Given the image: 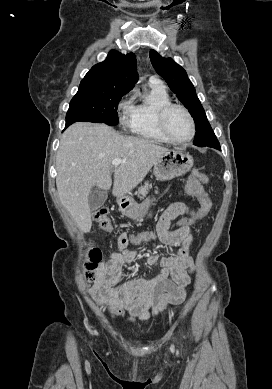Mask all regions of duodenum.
Listing matches in <instances>:
<instances>
[{
	"label": "duodenum",
	"instance_id": "obj_1",
	"mask_svg": "<svg viewBox=\"0 0 272 389\" xmlns=\"http://www.w3.org/2000/svg\"><path fill=\"white\" fill-rule=\"evenodd\" d=\"M118 201H119V202H121V199H120V198H118Z\"/></svg>",
	"mask_w": 272,
	"mask_h": 389
}]
</instances>
